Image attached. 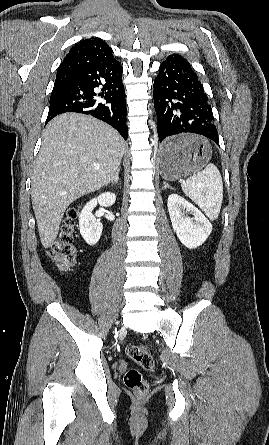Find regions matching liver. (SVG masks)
Instances as JSON below:
<instances>
[{"label":"liver","mask_w":269,"mask_h":445,"mask_svg":"<svg viewBox=\"0 0 269 445\" xmlns=\"http://www.w3.org/2000/svg\"><path fill=\"white\" fill-rule=\"evenodd\" d=\"M125 146L115 129L92 116L65 113L46 126L31 192L44 248L56 240L67 207L111 181Z\"/></svg>","instance_id":"1"}]
</instances>
